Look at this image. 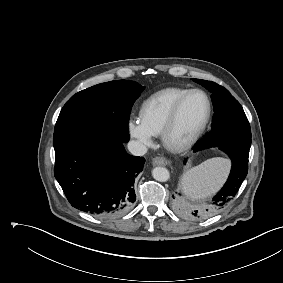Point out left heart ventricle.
<instances>
[{
  "mask_svg": "<svg viewBox=\"0 0 283 283\" xmlns=\"http://www.w3.org/2000/svg\"><path fill=\"white\" fill-rule=\"evenodd\" d=\"M206 114V101L201 94H191L184 101L175 127L172 140L179 142L188 139L201 125Z\"/></svg>",
  "mask_w": 283,
  "mask_h": 283,
  "instance_id": "obj_1",
  "label": "left heart ventricle"
}]
</instances>
